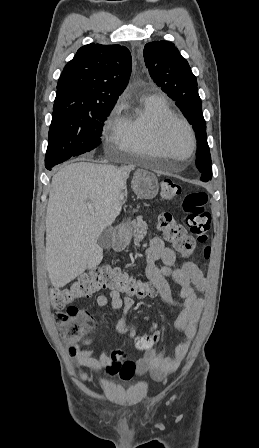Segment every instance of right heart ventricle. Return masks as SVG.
I'll list each match as a JSON object with an SVG mask.
<instances>
[{"instance_id": "e07e8e85", "label": "right heart ventricle", "mask_w": 259, "mask_h": 448, "mask_svg": "<svg viewBox=\"0 0 259 448\" xmlns=\"http://www.w3.org/2000/svg\"><path fill=\"white\" fill-rule=\"evenodd\" d=\"M173 114L170 103L159 90L140 94L132 104L121 102L115 121L123 136V149L127 152L122 163H142L143 153L158 149V125L162 119Z\"/></svg>"}]
</instances>
